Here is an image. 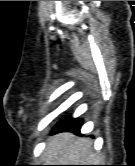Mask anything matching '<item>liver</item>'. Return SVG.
Wrapping results in <instances>:
<instances>
[{
	"instance_id": "liver-1",
	"label": "liver",
	"mask_w": 135,
	"mask_h": 166,
	"mask_svg": "<svg viewBox=\"0 0 135 166\" xmlns=\"http://www.w3.org/2000/svg\"><path fill=\"white\" fill-rule=\"evenodd\" d=\"M92 140L79 138L72 133H59L47 140L44 162L50 165H94L99 163Z\"/></svg>"
}]
</instances>
